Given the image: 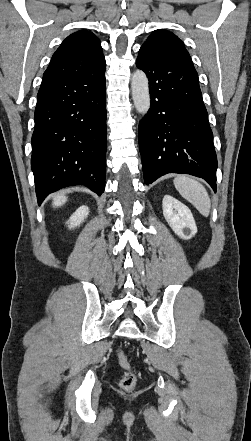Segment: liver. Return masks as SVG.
I'll return each instance as SVG.
<instances>
[{
  "mask_svg": "<svg viewBox=\"0 0 251 441\" xmlns=\"http://www.w3.org/2000/svg\"><path fill=\"white\" fill-rule=\"evenodd\" d=\"M67 201V197L63 194H58L53 198V206L60 207Z\"/></svg>",
  "mask_w": 251,
  "mask_h": 441,
  "instance_id": "6515ba94",
  "label": "liver"
}]
</instances>
